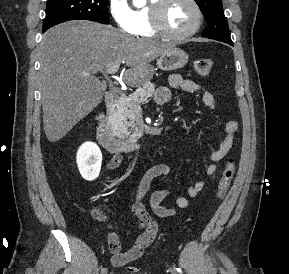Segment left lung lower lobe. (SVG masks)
<instances>
[{
    "instance_id": "1",
    "label": "left lung lower lobe",
    "mask_w": 289,
    "mask_h": 274,
    "mask_svg": "<svg viewBox=\"0 0 289 274\" xmlns=\"http://www.w3.org/2000/svg\"><path fill=\"white\" fill-rule=\"evenodd\" d=\"M225 43H228V44H230V45L233 46V42H231V41H229V42H225Z\"/></svg>"
}]
</instances>
